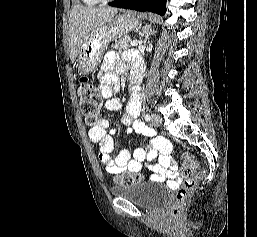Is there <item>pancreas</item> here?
Instances as JSON below:
<instances>
[{
	"label": "pancreas",
	"instance_id": "obj_1",
	"mask_svg": "<svg viewBox=\"0 0 257 237\" xmlns=\"http://www.w3.org/2000/svg\"><path fill=\"white\" fill-rule=\"evenodd\" d=\"M131 42V39L130 38H123V39H120L119 41H115L113 44H112V48L113 49H116V50H127L130 48V43Z\"/></svg>",
	"mask_w": 257,
	"mask_h": 237
}]
</instances>
